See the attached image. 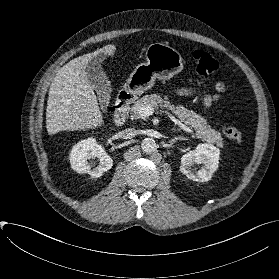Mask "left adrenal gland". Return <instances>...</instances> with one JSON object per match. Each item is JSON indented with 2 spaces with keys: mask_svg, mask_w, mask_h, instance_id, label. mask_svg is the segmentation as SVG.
<instances>
[{
  "mask_svg": "<svg viewBox=\"0 0 279 279\" xmlns=\"http://www.w3.org/2000/svg\"><path fill=\"white\" fill-rule=\"evenodd\" d=\"M177 140H188L187 138L183 137V136H178V137H175L174 139L172 140H169V143L170 144H173L175 143Z\"/></svg>",
  "mask_w": 279,
  "mask_h": 279,
  "instance_id": "a2214340",
  "label": "left adrenal gland"
}]
</instances>
